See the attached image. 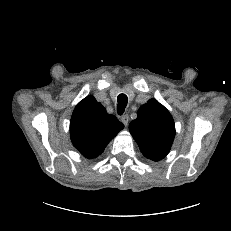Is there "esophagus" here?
Segmentation results:
<instances>
[{
	"instance_id": "obj_1",
	"label": "esophagus",
	"mask_w": 231,
	"mask_h": 231,
	"mask_svg": "<svg viewBox=\"0 0 231 231\" xmlns=\"http://www.w3.org/2000/svg\"><path fill=\"white\" fill-rule=\"evenodd\" d=\"M121 121H122V123H123L125 126H127V125H128V121H129V116H128L127 114L123 115V116L121 117Z\"/></svg>"
}]
</instances>
